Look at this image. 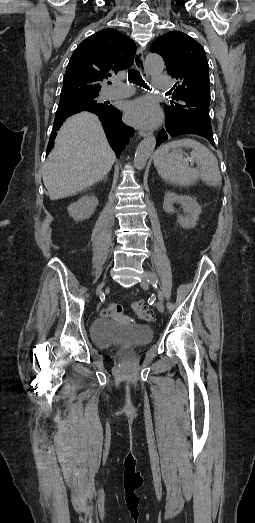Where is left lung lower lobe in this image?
Returning <instances> with one entry per match:
<instances>
[{
    "instance_id": "obj_1",
    "label": "left lung lower lobe",
    "mask_w": 255,
    "mask_h": 523,
    "mask_svg": "<svg viewBox=\"0 0 255 523\" xmlns=\"http://www.w3.org/2000/svg\"><path fill=\"white\" fill-rule=\"evenodd\" d=\"M210 130H204V127L200 125H195L192 123H187V121H180V123H172L171 125H165L164 128L158 129L159 137H156L157 145L162 146L164 144L163 140H168V137H179V135H193L194 137H204L207 136L208 144L210 146H215L217 141L215 140L216 134L207 133Z\"/></svg>"
}]
</instances>
